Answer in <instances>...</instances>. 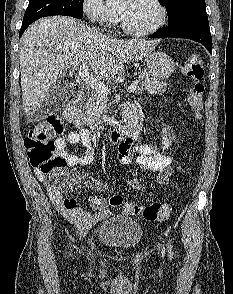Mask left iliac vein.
Instances as JSON below:
<instances>
[{"label": "left iliac vein", "instance_id": "1", "mask_svg": "<svg viewBox=\"0 0 233 294\" xmlns=\"http://www.w3.org/2000/svg\"><path fill=\"white\" fill-rule=\"evenodd\" d=\"M164 254V249L162 248V255Z\"/></svg>", "mask_w": 233, "mask_h": 294}]
</instances>
